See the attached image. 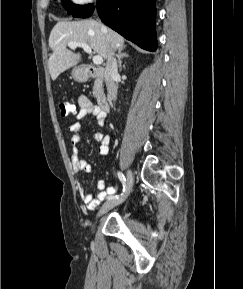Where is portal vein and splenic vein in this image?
<instances>
[{
	"label": "portal vein and splenic vein",
	"instance_id": "portal-vein-and-splenic-vein-1",
	"mask_svg": "<svg viewBox=\"0 0 243 289\" xmlns=\"http://www.w3.org/2000/svg\"><path fill=\"white\" fill-rule=\"evenodd\" d=\"M68 47L75 49L76 47H81L84 49V51L90 55H92V49L91 47L86 44V43H81V42H69ZM93 63L95 65H101L103 63V58L99 55H94L93 56Z\"/></svg>",
	"mask_w": 243,
	"mask_h": 289
}]
</instances>
